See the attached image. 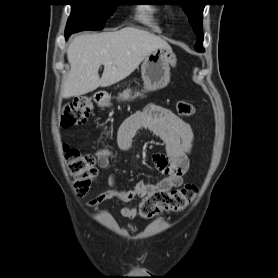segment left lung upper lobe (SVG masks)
I'll return each instance as SVG.
<instances>
[{
	"instance_id": "1",
	"label": "left lung upper lobe",
	"mask_w": 278,
	"mask_h": 278,
	"mask_svg": "<svg viewBox=\"0 0 278 278\" xmlns=\"http://www.w3.org/2000/svg\"><path fill=\"white\" fill-rule=\"evenodd\" d=\"M178 2H180L179 4L187 14L189 22L197 36L194 48L198 52H204V48L202 47V41L204 38L202 28V14L205 6L204 0H178Z\"/></svg>"
}]
</instances>
